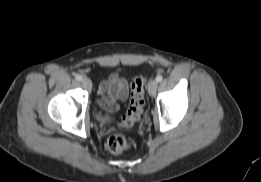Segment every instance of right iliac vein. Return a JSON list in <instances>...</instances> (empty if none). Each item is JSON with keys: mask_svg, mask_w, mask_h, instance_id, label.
Returning <instances> with one entry per match:
<instances>
[{"mask_svg": "<svg viewBox=\"0 0 261 182\" xmlns=\"http://www.w3.org/2000/svg\"><path fill=\"white\" fill-rule=\"evenodd\" d=\"M82 85L84 88H86L87 90H91L92 89V82L90 79L88 78H84L82 80Z\"/></svg>", "mask_w": 261, "mask_h": 182, "instance_id": "1", "label": "right iliac vein"}]
</instances>
